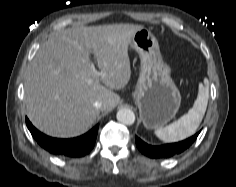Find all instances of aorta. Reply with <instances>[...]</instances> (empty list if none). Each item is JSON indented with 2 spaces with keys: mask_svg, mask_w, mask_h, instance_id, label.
Returning a JSON list of instances; mask_svg holds the SVG:
<instances>
[{
  "mask_svg": "<svg viewBox=\"0 0 236 187\" xmlns=\"http://www.w3.org/2000/svg\"><path fill=\"white\" fill-rule=\"evenodd\" d=\"M117 120L125 125H131L135 121V114L128 108H122L117 112Z\"/></svg>",
  "mask_w": 236,
  "mask_h": 187,
  "instance_id": "aorta-1",
  "label": "aorta"
}]
</instances>
